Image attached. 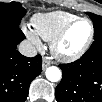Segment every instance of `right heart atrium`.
<instances>
[{"instance_id":"right-heart-atrium-1","label":"right heart atrium","mask_w":102,"mask_h":102,"mask_svg":"<svg viewBox=\"0 0 102 102\" xmlns=\"http://www.w3.org/2000/svg\"><path fill=\"white\" fill-rule=\"evenodd\" d=\"M24 32L27 36V38L39 49L43 48V44L42 41L40 39V37L29 27L24 26Z\"/></svg>"}]
</instances>
